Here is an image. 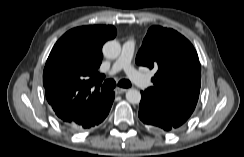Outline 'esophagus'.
Returning a JSON list of instances; mask_svg holds the SVG:
<instances>
[{
    "instance_id": "1",
    "label": "esophagus",
    "mask_w": 244,
    "mask_h": 157,
    "mask_svg": "<svg viewBox=\"0 0 244 157\" xmlns=\"http://www.w3.org/2000/svg\"><path fill=\"white\" fill-rule=\"evenodd\" d=\"M126 91H127L126 88H120V87H117V88L115 89L116 94H122V93H124V92H126Z\"/></svg>"
}]
</instances>
